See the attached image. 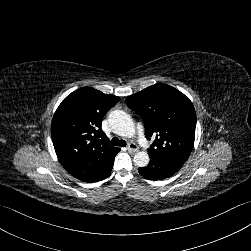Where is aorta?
<instances>
[{
	"label": "aorta",
	"instance_id": "aorta-1",
	"mask_svg": "<svg viewBox=\"0 0 251 251\" xmlns=\"http://www.w3.org/2000/svg\"><path fill=\"white\" fill-rule=\"evenodd\" d=\"M108 122L113 132L119 136L128 137L135 134V125L126 112L114 110L108 116ZM134 164L138 167H146L150 161L146 151H139L134 154Z\"/></svg>",
	"mask_w": 251,
	"mask_h": 251
}]
</instances>
